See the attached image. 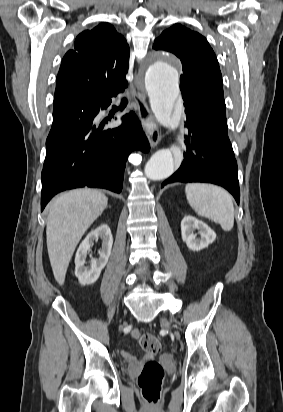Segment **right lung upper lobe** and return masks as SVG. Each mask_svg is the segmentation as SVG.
<instances>
[{"mask_svg": "<svg viewBox=\"0 0 283 412\" xmlns=\"http://www.w3.org/2000/svg\"><path fill=\"white\" fill-rule=\"evenodd\" d=\"M129 54L127 41L108 23L79 34L60 66L53 114L103 94L123 92Z\"/></svg>", "mask_w": 283, "mask_h": 412, "instance_id": "obj_1", "label": "right lung upper lobe"}]
</instances>
